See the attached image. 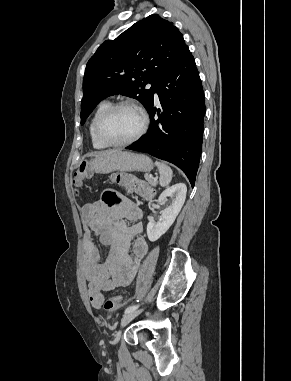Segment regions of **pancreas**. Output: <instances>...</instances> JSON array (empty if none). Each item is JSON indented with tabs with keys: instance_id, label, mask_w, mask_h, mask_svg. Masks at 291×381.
Wrapping results in <instances>:
<instances>
[{
	"instance_id": "obj_1",
	"label": "pancreas",
	"mask_w": 291,
	"mask_h": 381,
	"mask_svg": "<svg viewBox=\"0 0 291 381\" xmlns=\"http://www.w3.org/2000/svg\"><path fill=\"white\" fill-rule=\"evenodd\" d=\"M149 175H145V179L147 180V182L152 185V186H156L157 184V180H155L154 178H150L148 177Z\"/></svg>"
}]
</instances>
